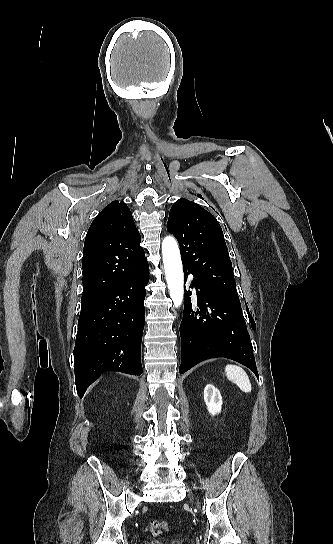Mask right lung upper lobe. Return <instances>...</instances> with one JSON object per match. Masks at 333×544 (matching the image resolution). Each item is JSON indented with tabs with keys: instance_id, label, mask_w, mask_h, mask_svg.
<instances>
[{
	"instance_id": "1",
	"label": "right lung upper lobe",
	"mask_w": 333,
	"mask_h": 544,
	"mask_svg": "<svg viewBox=\"0 0 333 544\" xmlns=\"http://www.w3.org/2000/svg\"><path fill=\"white\" fill-rule=\"evenodd\" d=\"M140 241L125 203L113 201L96 216L83 249L82 303L104 295L147 264Z\"/></svg>"
}]
</instances>
